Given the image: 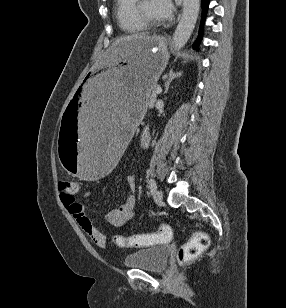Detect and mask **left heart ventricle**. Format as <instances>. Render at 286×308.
<instances>
[{
	"mask_svg": "<svg viewBox=\"0 0 286 308\" xmlns=\"http://www.w3.org/2000/svg\"><path fill=\"white\" fill-rule=\"evenodd\" d=\"M141 12L152 21H160L161 17L159 16L153 0H144L141 5Z\"/></svg>",
	"mask_w": 286,
	"mask_h": 308,
	"instance_id": "1",
	"label": "left heart ventricle"
}]
</instances>
